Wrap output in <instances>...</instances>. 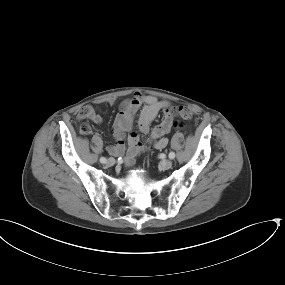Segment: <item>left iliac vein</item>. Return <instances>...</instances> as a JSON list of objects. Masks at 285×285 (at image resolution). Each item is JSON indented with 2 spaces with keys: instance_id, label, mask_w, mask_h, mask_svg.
I'll use <instances>...</instances> for the list:
<instances>
[{
  "instance_id": "4c4485c4",
  "label": "left iliac vein",
  "mask_w": 285,
  "mask_h": 285,
  "mask_svg": "<svg viewBox=\"0 0 285 285\" xmlns=\"http://www.w3.org/2000/svg\"><path fill=\"white\" fill-rule=\"evenodd\" d=\"M172 167V161L169 160V159H166V160H163L161 163H160V168L162 170H168Z\"/></svg>"
}]
</instances>
